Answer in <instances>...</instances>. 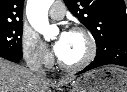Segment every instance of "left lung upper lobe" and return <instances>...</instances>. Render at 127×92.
<instances>
[{
    "mask_svg": "<svg viewBox=\"0 0 127 92\" xmlns=\"http://www.w3.org/2000/svg\"><path fill=\"white\" fill-rule=\"evenodd\" d=\"M71 13L89 29L97 52L115 41H127V14L123 0H64Z\"/></svg>",
    "mask_w": 127,
    "mask_h": 92,
    "instance_id": "left-lung-upper-lobe-1",
    "label": "left lung upper lobe"
}]
</instances>
